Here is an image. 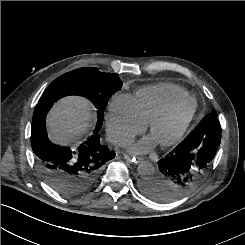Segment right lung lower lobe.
Returning <instances> with one entry per match:
<instances>
[{"label": "right lung lower lobe", "mask_w": 245, "mask_h": 245, "mask_svg": "<svg viewBox=\"0 0 245 245\" xmlns=\"http://www.w3.org/2000/svg\"><path fill=\"white\" fill-rule=\"evenodd\" d=\"M53 102L37 104L32 120L31 145L38 170L59 194L74 197L90 189L97 181L102 166L115 157V152L100 144L99 131L77 148L53 144L47 136L45 119Z\"/></svg>", "instance_id": "right-lung-lower-lobe-1"}]
</instances>
